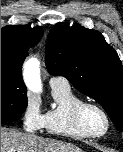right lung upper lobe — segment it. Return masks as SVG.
Returning <instances> with one entry per match:
<instances>
[{
  "mask_svg": "<svg viewBox=\"0 0 123 152\" xmlns=\"http://www.w3.org/2000/svg\"><path fill=\"white\" fill-rule=\"evenodd\" d=\"M42 36V27L10 25L1 28V74H9L23 82V61L29 47L37 45Z\"/></svg>",
  "mask_w": 123,
  "mask_h": 152,
  "instance_id": "1",
  "label": "right lung upper lobe"
}]
</instances>
